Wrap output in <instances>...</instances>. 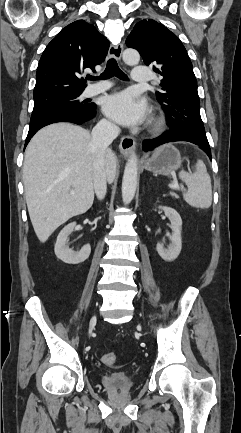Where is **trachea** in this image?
Returning <instances> with one entry per match:
<instances>
[{
    "mask_svg": "<svg viewBox=\"0 0 241 433\" xmlns=\"http://www.w3.org/2000/svg\"><path fill=\"white\" fill-rule=\"evenodd\" d=\"M113 76H116L117 78L121 80H128L127 75L119 68L117 61L114 58H111L108 60L106 68L104 72L100 75L99 78L101 79H108ZM88 80L96 79L93 76H88Z\"/></svg>",
    "mask_w": 241,
    "mask_h": 433,
    "instance_id": "1",
    "label": "trachea"
}]
</instances>
